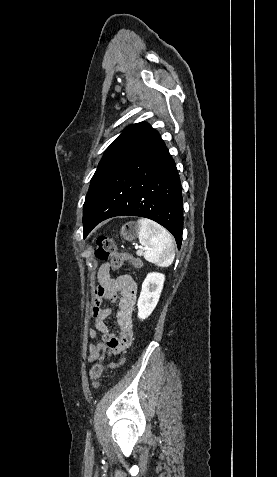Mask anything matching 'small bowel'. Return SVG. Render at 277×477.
Wrapping results in <instances>:
<instances>
[{"label":"small bowel","mask_w":277,"mask_h":477,"mask_svg":"<svg viewBox=\"0 0 277 477\" xmlns=\"http://www.w3.org/2000/svg\"><path fill=\"white\" fill-rule=\"evenodd\" d=\"M137 297L136 281L129 275L114 277L108 263L100 266L98 271V286L94 290L91 314L94 319V328L88 329V336L97 338L101 333V341L88 346L87 360L89 363L107 360V351H122L130 346L133 341L132 314ZM115 302L118 300L117 325L119 336L111 332L106 319L111 315L110 308L102 306L103 301ZM119 364L112 363L110 367Z\"/></svg>","instance_id":"obj_1"}]
</instances>
